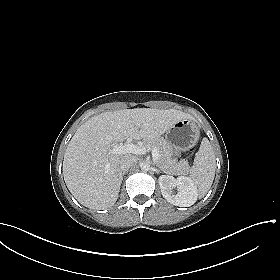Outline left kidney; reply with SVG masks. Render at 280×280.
I'll return each instance as SVG.
<instances>
[{"label":"left kidney","mask_w":280,"mask_h":280,"mask_svg":"<svg viewBox=\"0 0 280 280\" xmlns=\"http://www.w3.org/2000/svg\"><path fill=\"white\" fill-rule=\"evenodd\" d=\"M162 196L171 204L180 207L193 205L198 197V190L193 180L186 176L174 178L161 175L158 179ZM177 189L175 193L173 189Z\"/></svg>","instance_id":"1"}]
</instances>
